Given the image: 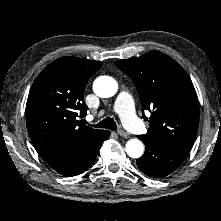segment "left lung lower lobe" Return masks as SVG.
I'll list each match as a JSON object with an SVG mask.
<instances>
[{
    "mask_svg": "<svg viewBox=\"0 0 221 221\" xmlns=\"http://www.w3.org/2000/svg\"><path fill=\"white\" fill-rule=\"evenodd\" d=\"M145 144V153L137 160L138 168L146 175L162 178L176 170L188 155V149L161 140L138 136Z\"/></svg>",
    "mask_w": 221,
    "mask_h": 221,
    "instance_id": "obj_1",
    "label": "left lung lower lobe"
}]
</instances>
